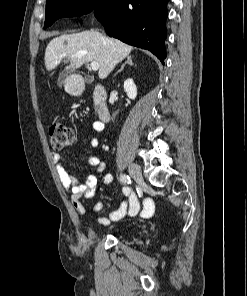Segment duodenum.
<instances>
[{
  "instance_id": "1",
  "label": "duodenum",
  "mask_w": 247,
  "mask_h": 296,
  "mask_svg": "<svg viewBox=\"0 0 247 296\" xmlns=\"http://www.w3.org/2000/svg\"><path fill=\"white\" fill-rule=\"evenodd\" d=\"M106 100L107 94L105 88L98 85L93 92V104L95 114L102 122H107L110 119V110Z\"/></svg>"
}]
</instances>
